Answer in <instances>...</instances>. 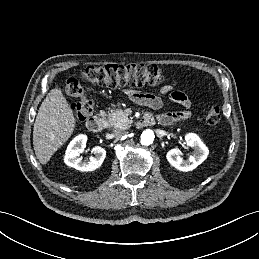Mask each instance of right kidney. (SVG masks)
<instances>
[{
  "instance_id": "1",
  "label": "right kidney",
  "mask_w": 259,
  "mask_h": 259,
  "mask_svg": "<svg viewBox=\"0 0 259 259\" xmlns=\"http://www.w3.org/2000/svg\"><path fill=\"white\" fill-rule=\"evenodd\" d=\"M87 136L84 134L76 136L68 145L64 162L66 165L73 167L79 171H93L100 167L106 157V150L100 146L92 148L95 157H91L89 161H83L80 154L86 147Z\"/></svg>"
}]
</instances>
